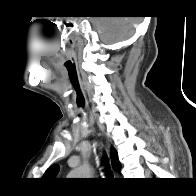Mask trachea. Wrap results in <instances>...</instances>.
Segmentation results:
<instances>
[{"mask_svg": "<svg viewBox=\"0 0 196 196\" xmlns=\"http://www.w3.org/2000/svg\"><path fill=\"white\" fill-rule=\"evenodd\" d=\"M101 164L102 166H104V172L105 174L108 176L109 179L112 178V172H111V169H110V166H109V162H108V158H107V155L104 154L102 159H101Z\"/></svg>", "mask_w": 196, "mask_h": 196, "instance_id": "1", "label": "trachea"}]
</instances>
